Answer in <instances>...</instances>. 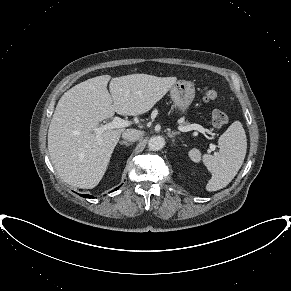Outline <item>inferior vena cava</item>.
Wrapping results in <instances>:
<instances>
[{
  "label": "inferior vena cava",
  "instance_id": "obj_1",
  "mask_svg": "<svg viewBox=\"0 0 291 291\" xmlns=\"http://www.w3.org/2000/svg\"><path fill=\"white\" fill-rule=\"evenodd\" d=\"M142 136H143V132L136 129H127L126 131L122 133V138L130 142H135L141 139Z\"/></svg>",
  "mask_w": 291,
  "mask_h": 291
}]
</instances>
